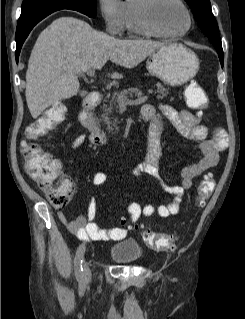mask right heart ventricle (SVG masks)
<instances>
[{
  "label": "right heart ventricle",
  "instance_id": "1",
  "mask_svg": "<svg viewBox=\"0 0 245 319\" xmlns=\"http://www.w3.org/2000/svg\"><path fill=\"white\" fill-rule=\"evenodd\" d=\"M141 0H125L123 2L124 29L133 35H150L140 25L137 7Z\"/></svg>",
  "mask_w": 245,
  "mask_h": 319
}]
</instances>
